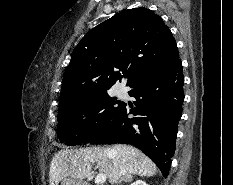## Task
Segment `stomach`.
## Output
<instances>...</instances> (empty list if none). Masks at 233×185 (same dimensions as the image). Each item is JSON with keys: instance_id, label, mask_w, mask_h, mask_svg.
<instances>
[{"instance_id": "0dacf381", "label": "stomach", "mask_w": 233, "mask_h": 185, "mask_svg": "<svg viewBox=\"0 0 233 185\" xmlns=\"http://www.w3.org/2000/svg\"><path fill=\"white\" fill-rule=\"evenodd\" d=\"M61 185H85L81 180L74 178H66L61 181Z\"/></svg>"}]
</instances>
